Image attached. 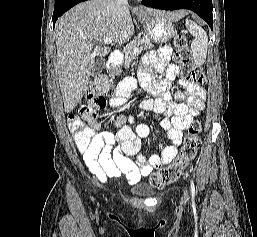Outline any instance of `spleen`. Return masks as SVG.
<instances>
[{"mask_svg": "<svg viewBox=\"0 0 257 237\" xmlns=\"http://www.w3.org/2000/svg\"><path fill=\"white\" fill-rule=\"evenodd\" d=\"M186 27L194 37L191 43L193 58L196 64L203 65L206 61L208 37L206 32L195 22L186 20Z\"/></svg>", "mask_w": 257, "mask_h": 237, "instance_id": "obj_1", "label": "spleen"}]
</instances>
